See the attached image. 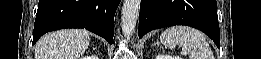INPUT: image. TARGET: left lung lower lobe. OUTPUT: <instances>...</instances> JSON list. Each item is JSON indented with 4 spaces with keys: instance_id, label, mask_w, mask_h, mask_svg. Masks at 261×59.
Returning <instances> with one entry per match:
<instances>
[{
    "instance_id": "0a47b994",
    "label": "left lung lower lobe",
    "mask_w": 261,
    "mask_h": 59,
    "mask_svg": "<svg viewBox=\"0 0 261 59\" xmlns=\"http://www.w3.org/2000/svg\"><path fill=\"white\" fill-rule=\"evenodd\" d=\"M174 25H188L207 34L219 48L216 0H141L138 34Z\"/></svg>"
}]
</instances>
